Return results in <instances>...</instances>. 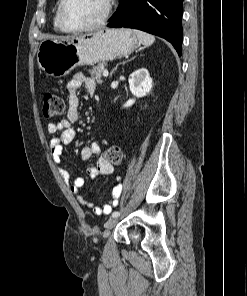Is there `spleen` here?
<instances>
[{"mask_svg": "<svg viewBox=\"0 0 247 296\" xmlns=\"http://www.w3.org/2000/svg\"><path fill=\"white\" fill-rule=\"evenodd\" d=\"M133 33L137 36L138 40L144 47L152 45L155 41V37L151 34L145 33L140 30H133Z\"/></svg>", "mask_w": 247, "mask_h": 296, "instance_id": "obj_1", "label": "spleen"}]
</instances>
